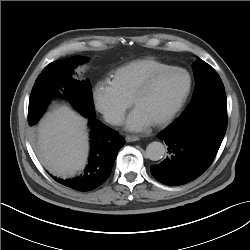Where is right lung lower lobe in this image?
<instances>
[{
    "label": "right lung lower lobe",
    "instance_id": "1",
    "mask_svg": "<svg viewBox=\"0 0 250 250\" xmlns=\"http://www.w3.org/2000/svg\"><path fill=\"white\" fill-rule=\"evenodd\" d=\"M91 150L88 165L78 177L60 179L58 183L77 191H91L100 186L109 176L120 148L125 144L117 132L102 124L94 116H88Z\"/></svg>",
    "mask_w": 250,
    "mask_h": 250
}]
</instances>
